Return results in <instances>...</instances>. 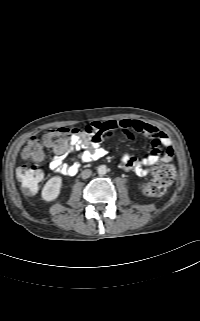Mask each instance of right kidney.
<instances>
[{"label":"right kidney","instance_id":"right-kidney-1","mask_svg":"<svg viewBox=\"0 0 200 321\" xmlns=\"http://www.w3.org/2000/svg\"><path fill=\"white\" fill-rule=\"evenodd\" d=\"M61 186H62L61 177L54 176L50 178L43 187L42 194H41L42 198L45 201L55 200L60 194Z\"/></svg>","mask_w":200,"mask_h":321}]
</instances>
